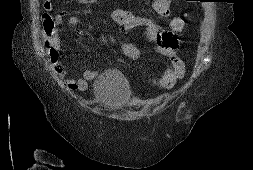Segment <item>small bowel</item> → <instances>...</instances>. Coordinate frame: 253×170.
Returning <instances> with one entry per match:
<instances>
[{
    "label": "small bowel",
    "mask_w": 253,
    "mask_h": 170,
    "mask_svg": "<svg viewBox=\"0 0 253 170\" xmlns=\"http://www.w3.org/2000/svg\"><path fill=\"white\" fill-rule=\"evenodd\" d=\"M81 2H87L91 0H80ZM96 1V0H92ZM172 0H154L152 2V8L155 12L163 17H168L171 14ZM44 6L47 10H52L51 0H45ZM67 17V12L61 11L55 16L56 27L52 32L46 34L47 41L54 45L59 44L58 40V28L60 24ZM111 20L120 27L123 34L128 33L131 30L142 28L145 30L146 39L149 42L155 44L156 51L167 59L165 71L162 76L153 80L161 88H171L178 80H181L185 74V64L183 60L177 55L180 43L174 35V32L181 31L184 27V20L180 17L173 18L170 22L171 31L164 30L159 24L149 18L138 17L133 15L129 11L122 8H115L110 14ZM177 22L181 23V27H176ZM68 23L70 26L76 27L79 24L77 16L70 15L68 17ZM77 35L83 37L85 34L83 31L78 30ZM122 50L126 56L130 59L136 60L140 57L139 49L133 44L123 40ZM55 72L65 78L67 76V70L62 63L56 61L53 63ZM97 76V72L94 70H85L79 78L66 79V85L71 90H86L89 83Z\"/></svg>",
    "instance_id": "obj_1"
}]
</instances>
